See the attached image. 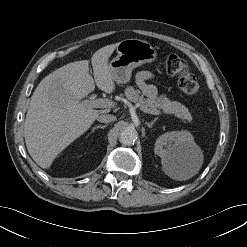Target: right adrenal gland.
Returning <instances> with one entry per match:
<instances>
[{
	"label": "right adrenal gland",
	"mask_w": 247,
	"mask_h": 247,
	"mask_svg": "<svg viewBox=\"0 0 247 247\" xmlns=\"http://www.w3.org/2000/svg\"><path fill=\"white\" fill-rule=\"evenodd\" d=\"M105 127H107V125H97V126L93 127V131L92 132H94L98 128L104 129Z\"/></svg>",
	"instance_id": "2a0ac1e0"
}]
</instances>
